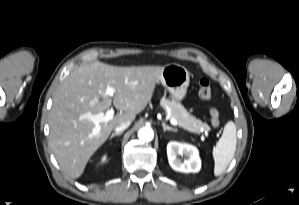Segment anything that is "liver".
<instances>
[{
  "mask_svg": "<svg viewBox=\"0 0 299 205\" xmlns=\"http://www.w3.org/2000/svg\"><path fill=\"white\" fill-rule=\"evenodd\" d=\"M163 67H117L96 61L72 71L56 90L49 117V145L64 172L79 178L90 157L111 131L133 121L151 101ZM113 87L114 96L105 94ZM113 104L120 112L108 122L95 124L87 115L101 114Z\"/></svg>",
  "mask_w": 299,
  "mask_h": 205,
  "instance_id": "6515ba94",
  "label": "liver"
}]
</instances>
